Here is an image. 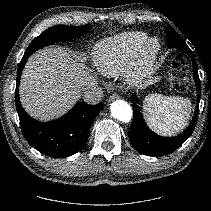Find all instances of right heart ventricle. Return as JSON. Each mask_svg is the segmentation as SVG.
Listing matches in <instances>:
<instances>
[{
    "label": "right heart ventricle",
    "mask_w": 211,
    "mask_h": 211,
    "mask_svg": "<svg viewBox=\"0 0 211 211\" xmlns=\"http://www.w3.org/2000/svg\"><path fill=\"white\" fill-rule=\"evenodd\" d=\"M146 37L143 31H127L99 41L93 50L95 66L106 75L118 73L137 54Z\"/></svg>",
    "instance_id": "right-heart-ventricle-1"
}]
</instances>
